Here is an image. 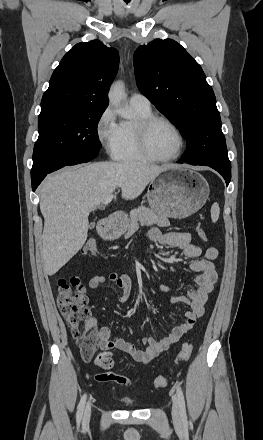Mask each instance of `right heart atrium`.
I'll list each match as a JSON object with an SVG mask.
<instances>
[{
    "mask_svg": "<svg viewBox=\"0 0 263 440\" xmlns=\"http://www.w3.org/2000/svg\"><path fill=\"white\" fill-rule=\"evenodd\" d=\"M96 135L105 151L114 155L120 141L121 127L110 106H107L97 119Z\"/></svg>",
    "mask_w": 263,
    "mask_h": 440,
    "instance_id": "obj_1",
    "label": "right heart atrium"
}]
</instances>
